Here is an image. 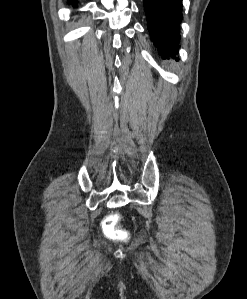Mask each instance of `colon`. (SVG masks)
<instances>
[{
    "label": "colon",
    "instance_id": "colon-1",
    "mask_svg": "<svg viewBox=\"0 0 247 299\" xmlns=\"http://www.w3.org/2000/svg\"><path fill=\"white\" fill-rule=\"evenodd\" d=\"M105 233L112 238H122L125 236L124 231L118 228L116 216L108 217L104 222Z\"/></svg>",
    "mask_w": 247,
    "mask_h": 299
}]
</instances>
